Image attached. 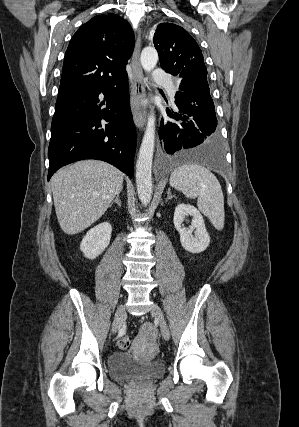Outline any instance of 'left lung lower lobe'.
<instances>
[{"label":"left lung lower lobe","instance_id":"obj_1","mask_svg":"<svg viewBox=\"0 0 299 427\" xmlns=\"http://www.w3.org/2000/svg\"><path fill=\"white\" fill-rule=\"evenodd\" d=\"M214 104L192 93L176 92L172 120L161 122L159 137L169 161H189L219 167L223 164L221 139Z\"/></svg>","mask_w":299,"mask_h":427}]
</instances>
